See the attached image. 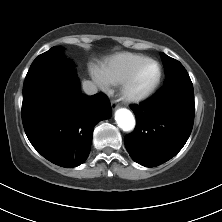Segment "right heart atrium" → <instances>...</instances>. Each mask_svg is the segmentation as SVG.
I'll use <instances>...</instances> for the list:
<instances>
[{
    "instance_id": "1",
    "label": "right heart atrium",
    "mask_w": 222,
    "mask_h": 222,
    "mask_svg": "<svg viewBox=\"0 0 222 222\" xmlns=\"http://www.w3.org/2000/svg\"><path fill=\"white\" fill-rule=\"evenodd\" d=\"M92 75L95 78V80L97 81L98 85L100 86V88L107 92L109 90L108 88V84L105 83L103 80H101V78L99 77L98 71L97 70H92Z\"/></svg>"
}]
</instances>
